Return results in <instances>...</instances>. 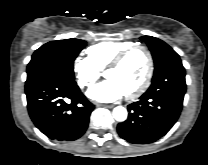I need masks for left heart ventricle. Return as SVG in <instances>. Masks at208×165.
<instances>
[{
  "label": "left heart ventricle",
  "mask_w": 208,
  "mask_h": 165,
  "mask_svg": "<svg viewBox=\"0 0 208 165\" xmlns=\"http://www.w3.org/2000/svg\"><path fill=\"white\" fill-rule=\"evenodd\" d=\"M147 67L146 54L137 50L131 53L119 67L106 71L105 76L116 81L126 94L141 84Z\"/></svg>",
  "instance_id": "1"
}]
</instances>
